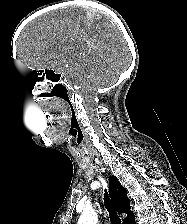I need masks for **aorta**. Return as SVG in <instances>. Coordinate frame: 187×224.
<instances>
[{"label": "aorta", "mask_w": 187, "mask_h": 224, "mask_svg": "<svg viewBox=\"0 0 187 224\" xmlns=\"http://www.w3.org/2000/svg\"><path fill=\"white\" fill-rule=\"evenodd\" d=\"M98 215L94 210L86 209L82 212L78 224H97Z\"/></svg>", "instance_id": "obj_1"}]
</instances>
